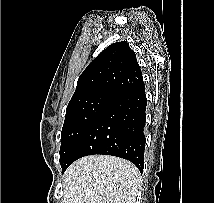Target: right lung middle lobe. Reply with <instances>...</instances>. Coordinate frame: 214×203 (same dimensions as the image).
<instances>
[{"label": "right lung middle lobe", "mask_w": 214, "mask_h": 203, "mask_svg": "<svg viewBox=\"0 0 214 203\" xmlns=\"http://www.w3.org/2000/svg\"><path fill=\"white\" fill-rule=\"evenodd\" d=\"M111 99L112 97L106 95L93 94L69 102L61 134V165L67 160L77 141Z\"/></svg>", "instance_id": "dd1d6c3e"}]
</instances>
